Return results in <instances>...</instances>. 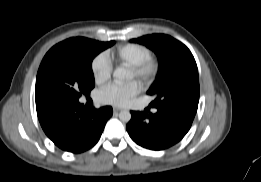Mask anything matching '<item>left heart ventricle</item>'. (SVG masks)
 Listing matches in <instances>:
<instances>
[{
  "label": "left heart ventricle",
  "mask_w": 261,
  "mask_h": 182,
  "mask_svg": "<svg viewBox=\"0 0 261 182\" xmlns=\"http://www.w3.org/2000/svg\"><path fill=\"white\" fill-rule=\"evenodd\" d=\"M130 78H131V79H134V78H135V75H134V73H133L132 71H130Z\"/></svg>",
  "instance_id": "left-heart-ventricle-1"
}]
</instances>
